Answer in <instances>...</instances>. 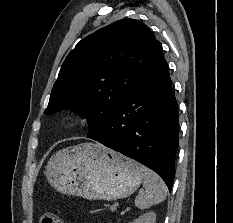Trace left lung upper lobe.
I'll list each match as a JSON object with an SVG mask.
<instances>
[{
	"instance_id": "5c2ea615",
	"label": "left lung upper lobe",
	"mask_w": 233,
	"mask_h": 223,
	"mask_svg": "<svg viewBox=\"0 0 233 223\" xmlns=\"http://www.w3.org/2000/svg\"><path fill=\"white\" fill-rule=\"evenodd\" d=\"M161 46L135 19L97 30L66 57L44 113L70 109L87 118L88 137L94 136L130 97Z\"/></svg>"
}]
</instances>
